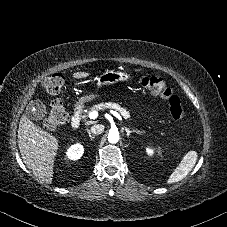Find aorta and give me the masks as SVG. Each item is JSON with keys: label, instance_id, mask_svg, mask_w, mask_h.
<instances>
[{"label": "aorta", "instance_id": "762f6f07", "mask_svg": "<svg viewBox=\"0 0 227 227\" xmlns=\"http://www.w3.org/2000/svg\"><path fill=\"white\" fill-rule=\"evenodd\" d=\"M108 141L110 143H117L119 141V133L117 131H110L108 134Z\"/></svg>", "mask_w": 227, "mask_h": 227}]
</instances>
